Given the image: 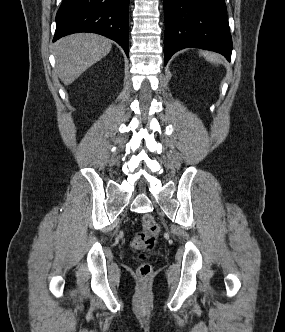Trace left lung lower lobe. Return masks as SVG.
<instances>
[{
  "label": "left lung lower lobe",
  "mask_w": 285,
  "mask_h": 332,
  "mask_svg": "<svg viewBox=\"0 0 285 332\" xmlns=\"http://www.w3.org/2000/svg\"><path fill=\"white\" fill-rule=\"evenodd\" d=\"M165 64L178 50L196 47L230 61L232 38L224 0H164Z\"/></svg>",
  "instance_id": "1"
}]
</instances>
